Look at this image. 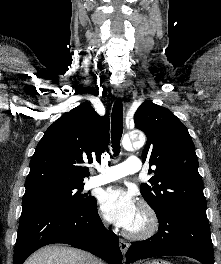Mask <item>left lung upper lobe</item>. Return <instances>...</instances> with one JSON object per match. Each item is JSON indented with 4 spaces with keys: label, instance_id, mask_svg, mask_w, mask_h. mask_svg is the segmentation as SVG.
<instances>
[{
    "label": "left lung upper lobe",
    "instance_id": "1",
    "mask_svg": "<svg viewBox=\"0 0 221 264\" xmlns=\"http://www.w3.org/2000/svg\"><path fill=\"white\" fill-rule=\"evenodd\" d=\"M135 127L147 136L142 152L153 177L142 184L146 202L161 214L173 209L206 210L203 182L198 172L195 146L187 128L168 109L143 102L134 115Z\"/></svg>",
    "mask_w": 221,
    "mask_h": 264
}]
</instances>
